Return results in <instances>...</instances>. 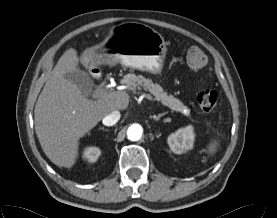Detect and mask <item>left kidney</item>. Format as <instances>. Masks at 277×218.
<instances>
[{
    "label": "left kidney",
    "mask_w": 277,
    "mask_h": 218,
    "mask_svg": "<svg viewBox=\"0 0 277 218\" xmlns=\"http://www.w3.org/2000/svg\"><path fill=\"white\" fill-rule=\"evenodd\" d=\"M194 128L189 125L168 136V145L175 154H182L193 148Z\"/></svg>",
    "instance_id": "1"
}]
</instances>
